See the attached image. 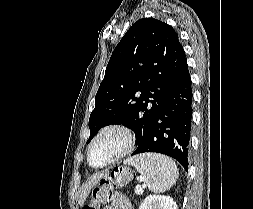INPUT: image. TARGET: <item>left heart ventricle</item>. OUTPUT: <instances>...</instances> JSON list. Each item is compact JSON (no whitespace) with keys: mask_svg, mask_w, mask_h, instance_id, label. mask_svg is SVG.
<instances>
[{"mask_svg":"<svg viewBox=\"0 0 253 209\" xmlns=\"http://www.w3.org/2000/svg\"><path fill=\"white\" fill-rule=\"evenodd\" d=\"M124 135L117 130L104 133L91 149V163L101 165L116 155L124 146Z\"/></svg>","mask_w":253,"mask_h":209,"instance_id":"b2bd125f","label":"left heart ventricle"}]
</instances>
